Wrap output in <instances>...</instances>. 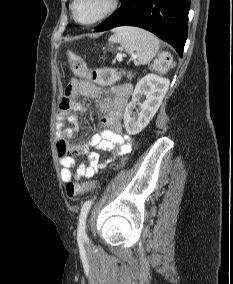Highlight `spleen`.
<instances>
[{"label": "spleen", "mask_w": 233, "mask_h": 284, "mask_svg": "<svg viewBox=\"0 0 233 284\" xmlns=\"http://www.w3.org/2000/svg\"><path fill=\"white\" fill-rule=\"evenodd\" d=\"M109 41L119 43L128 54L135 53L138 61L143 65L148 64L159 50L158 38L152 33L137 27H118L115 29V34L109 38ZM166 57H170V60L166 61ZM164 62H166V66L172 64L171 55L167 52H163L158 61L157 67L161 71L165 70V66L162 65Z\"/></svg>", "instance_id": "3e777b00"}]
</instances>
